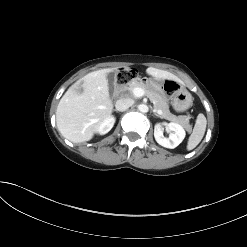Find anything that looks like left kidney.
Segmentation results:
<instances>
[{
	"mask_svg": "<svg viewBox=\"0 0 247 247\" xmlns=\"http://www.w3.org/2000/svg\"><path fill=\"white\" fill-rule=\"evenodd\" d=\"M167 129L172 131L170 133L169 138H165L163 135V129L160 124H156L154 128V137L157 143L163 147L173 149L177 147L185 138V130L184 128L174 122L165 123Z\"/></svg>",
	"mask_w": 247,
	"mask_h": 247,
	"instance_id": "1",
	"label": "left kidney"
}]
</instances>
